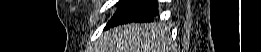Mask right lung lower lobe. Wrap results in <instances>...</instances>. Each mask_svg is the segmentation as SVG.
<instances>
[{
	"instance_id": "obj_1",
	"label": "right lung lower lobe",
	"mask_w": 261,
	"mask_h": 52,
	"mask_svg": "<svg viewBox=\"0 0 261 52\" xmlns=\"http://www.w3.org/2000/svg\"><path fill=\"white\" fill-rule=\"evenodd\" d=\"M118 12L108 22L107 27L128 22H150L157 15L155 0H122L117 3Z\"/></svg>"
}]
</instances>
